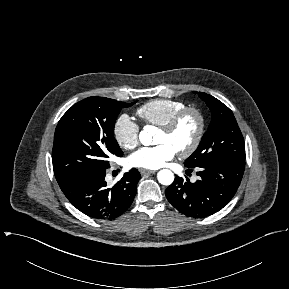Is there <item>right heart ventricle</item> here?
<instances>
[{
    "instance_id": "obj_1",
    "label": "right heart ventricle",
    "mask_w": 289,
    "mask_h": 289,
    "mask_svg": "<svg viewBox=\"0 0 289 289\" xmlns=\"http://www.w3.org/2000/svg\"><path fill=\"white\" fill-rule=\"evenodd\" d=\"M186 104L179 100L154 99L138 108V116L149 125L162 126Z\"/></svg>"
}]
</instances>
